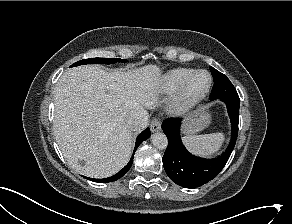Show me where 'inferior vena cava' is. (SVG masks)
<instances>
[{"label": "inferior vena cava", "mask_w": 292, "mask_h": 224, "mask_svg": "<svg viewBox=\"0 0 292 224\" xmlns=\"http://www.w3.org/2000/svg\"><path fill=\"white\" fill-rule=\"evenodd\" d=\"M141 120L139 117L137 116H131L128 121V127L132 130V131H137L140 127H141Z\"/></svg>", "instance_id": "1"}]
</instances>
